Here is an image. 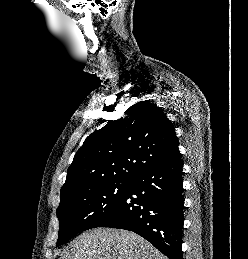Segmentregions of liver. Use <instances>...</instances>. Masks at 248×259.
<instances>
[{
	"mask_svg": "<svg viewBox=\"0 0 248 259\" xmlns=\"http://www.w3.org/2000/svg\"><path fill=\"white\" fill-rule=\"evenodd\" d=\"M59 259H168L141 236L96 228L79 235Z\"/></svg>",
	"mask_w": 248,
	"mask_h": 259,
	"instance_id": "6515ba94",
	"label": "liver"
}]
</instances>
